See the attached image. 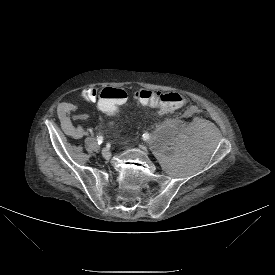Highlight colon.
Here are the masks:
<instances>
[{
	"mask_svg": "<svg viewBox=\"0 0 275 275\" xmlns=\"http://www.w3.org/2000/svg\"><path fill=\"white\" fill-rule=\"evenodd\" d=\"M135 100L142 105L158 107L162 112H172L181 108L186 98L176 92H156L139 89L133 93ZM128 98V93L124 89L105 88L97 100L98 112L104 116H113L117 112V105L123 104Z\"/></svg>",
	"mask_w": 275,
	"mask_h": 275,
	"instance_id": "1",
	"label": "colon"
}]
</instances>
